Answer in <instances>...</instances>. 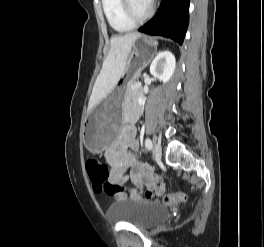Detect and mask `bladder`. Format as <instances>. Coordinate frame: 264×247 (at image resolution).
Here are the masks:
<instances>
[{
	"mask_svg": "<svg viewBox=\"0 0 264 247\" xmlns=\"http://www.w3.org/2000/svg\"><path fill=\"white\" fill-rule=\"evenodd\" d=\"M107 217L113 222L129 223L147 229L165 222L169 213L158 203L123 197L109 206Z\"/></svg>",
	"mask_w": 264,
	"mask_h": 247,
	"instance_id": "1",
	"label": "bladder"
}]
</instances>
